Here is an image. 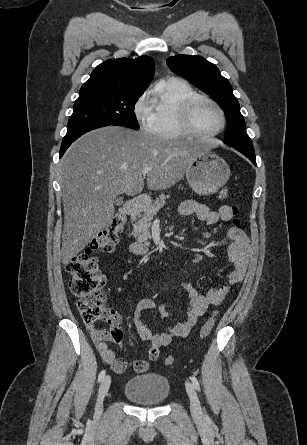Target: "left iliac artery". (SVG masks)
<instances>
[{"label":"left iliac artery","mask_w":307,"mask_h":445,"mask_svg":"<svg viewBox=\"0 0 307 445\" xmlns=\"http://www.w3.org/2000/svg\"><path fill=\"white\" fill-rule=\"evenodd\" d=\"M190 379L192 380V383L194 385V387L196 388V390H200V386H199V382L197 380V378L195 376H191ZM206 421H210V418L208 417V415L206 414L205 416Z\"/></svg>","instance_id":"44dca946"}]
</instances>
